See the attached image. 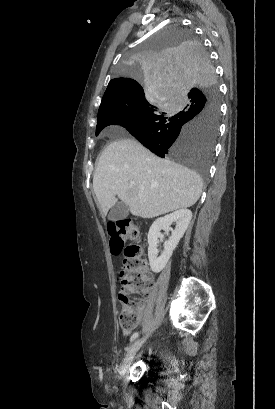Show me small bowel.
<instances>
[{"label": "small bowel", "instance_id": "obj_1", "mask_svg": "<svg viewBox=\"0 0 275 409\" xmlns=\"http://www.w3.org/2000/svg\"><path fill=\"white\" fill-rule=\"evenodd\" d=\"M115 282H116L117 284H120V283L122 282V279H121L120 277H117V278L115 279ZM124 335H125V336H128V335H129V332H128V331H125V332H124Z\"/></svg>", "mask_w": 275, "mask_h": 409}]
</instances>
